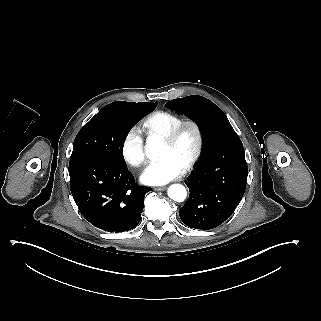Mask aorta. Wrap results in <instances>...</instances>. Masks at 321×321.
Here are the masks:
<instances>
[{
  "mask_svg": "<svg viewBox=\"0 0 321 321\" xmlns=\"http://www.w3.org/2000/svg\"><path fill=\"white\" fill-rule=\"evenodd\" d=\"M161 148V142L157 139H148L146 142V155L148 158L157 159ZM168 196L176 201L183 202L186 199V188L181 184H173L168 189Z\"/></svg>",
  "mask_w": 321,
  "mask_h": 321,
  "instance_id": "1",
  "label": "aorta"
}]
</instances>
